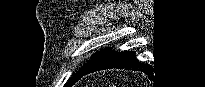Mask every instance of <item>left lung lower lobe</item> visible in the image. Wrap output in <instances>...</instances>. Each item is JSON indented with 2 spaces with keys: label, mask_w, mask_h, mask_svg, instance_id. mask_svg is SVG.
Here are the masks:
<instances>
[{
  "label": "left lung lower lobe",
  "mask_w": 205,
  "mask_h": 87,
  "mask_svg": "<svg viewBox=\"0 0 205 87\" xmlns=\"http://www.w3.org/2000/svg\"><path fill=\"white\" fill-rule=\"evenodd\" d=\"M128 69L148 73L149 66L142 64L135 59L134 52H115L110 48L101 50L91 62V64L80 74L79 79L86 74L104 69ZM78 79V80H79Z\"/></svg>",
  "instance_id": "1"
}]
</instances>
